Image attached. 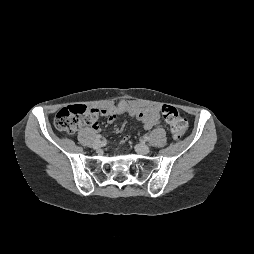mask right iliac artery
<instances>
[{"mask_svg": "<svg viewBox=\"0 0 254 254\" xmlns=\"http://www.w3.org/2000/svg\"><path fill=\"white\" fill-rule=\"evenodd\" d=\"M101 138H102L101 135H97V136H96V139H97V140H99V139H101Z\"/></svg>", "mask_w": 254, "mask_h": 254, "instance_id": "1", "label": "right iliac artery"}]
</instances>
